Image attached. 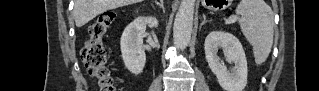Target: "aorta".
Segmentation results:
<instances>
[{"label": "aorta", "mask_w": 319, "mask_h": 91, "mask_svg": "<svg viewBox=\"0 0 319 91\" xmlns=\"http://www.w3.org/2000/svg\"><path fill=\"white\" fill-rule=\"evenodd\" d=\"M195 0H181L173 26L174 45L185 49L191 39Z\"/></svg>", "instance_id": "obj_1"}]
</instances>
